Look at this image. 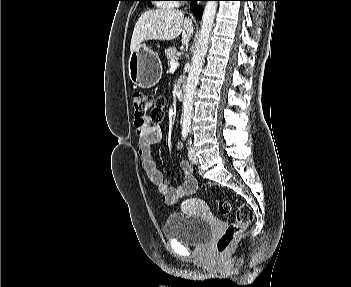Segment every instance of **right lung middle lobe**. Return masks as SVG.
<instances>
[{"label":"right lung middle lobe","instance_id":"1","mask_svg":"<svg viewBox=\"0 0 351 287\" xmlns=\"http://www.w3.org/2000/svg\"><path fill=\"white\" fill-rule=\"evenodd\" d=\"M140 1H148V0H140Z\"/></svg>","mask_w":351,"mask_h":287}]
</instances>
